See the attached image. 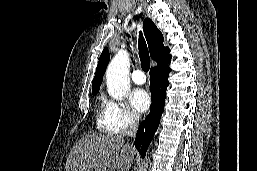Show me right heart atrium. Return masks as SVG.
Here are the masks:
<instances>
[{"mask_svg":"<svg viewBox=\"0 0 257 171\" xmlns=\"http://www.w3.org/2000/svg\"><path fill=\"white\" fill-rule=\"evenodd\" d=\"M103 108L111 128L116 132L127 131L139 121L137 114L123 100L105 99Z\"/></svg>","mask_w":257,"mask_h":171,"instance_id":"1","label":"right heart atrium"}]
</instances>
